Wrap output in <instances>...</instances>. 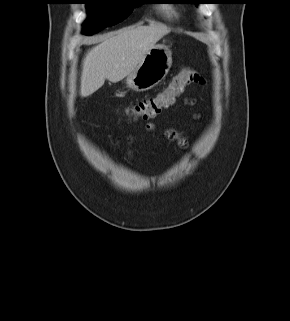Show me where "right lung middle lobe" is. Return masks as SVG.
I'll return each instance as SVG.
<instances>
[{"mask_svg":"<svg viewBox=\"0 0 290 321\" xmlns=\"http://www.w3.org/2000/svg\"><path fill=\"white\" fill-rule=\"evenodd\" d=\"M136 0H84L89 19L84 24V34L93 35L101 29L125 19L134 7L142 5Z\"/></svg>","mask_w":290,"mask_h":321,"instance_id":"dd1d6c3e","label":"right lung middle lobe"}]
</instances>
